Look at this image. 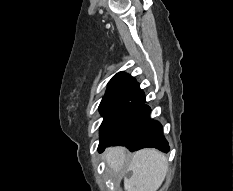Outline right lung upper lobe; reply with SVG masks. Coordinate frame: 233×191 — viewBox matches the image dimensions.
I'll list each match as a JSON object with an SVG mask.
<instances>
[{"label":"right lung upper lobe","instance_id":"right-lung-upper-lobe-1","mask_svg":"<svg viewBox=\"0 0 233 191\" xmlns=\"http://www.w3.org/2000/svg\"><path fill=\"white\" fill-rule=\"evenodd\" d=\"M136 80L124 72L117 73L109 82L102 101L123 97L134 87Z\"/></svg>","mask_w":233,"mask_h":191}]
</instances>
